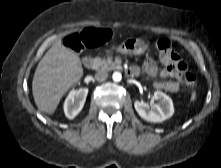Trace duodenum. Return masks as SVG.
<instances>
[{"label":"duodenum","mask_w":221,"mask_h":168,"mask_svg":"<svg viewBox=\"0 0 221 168\" xmlns=\"http://www.w3.org/2000/svg\"><path fill=\"white\" fill-rule=\"evenodd\" d=\"M83 64L88 69H93L96 66V61L92 56H85L83 58ZM128 76H136L138 75L137 71L134 68H130L127 70Z\"/></svg>","instance_id":"1"}]
</instances>
